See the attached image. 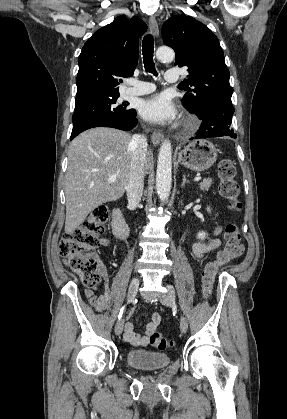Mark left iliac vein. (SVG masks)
Instances as JSON below:
<instances>
[{
    "label": "left iliac vein",
    "instance_id": "1",
    "mask_svg": "<svg viewBox=\"0 0 287 419\" xmlns=\"http://www.w3.org/2000/svg\"><path fill=\"white\" fill-rule=\"evenodd\" d=\"M167 293L160 298V302L165 306H174L175 305V293L174 290L167 286ZM188 329V321L184 316L180 318V330L182 333H186Z\"/></svg>",
    "mask_w": 287,
    "mask_h": 419
}]
</instances>
